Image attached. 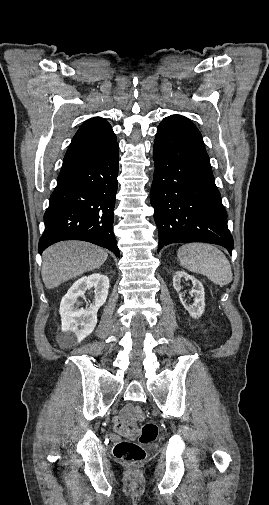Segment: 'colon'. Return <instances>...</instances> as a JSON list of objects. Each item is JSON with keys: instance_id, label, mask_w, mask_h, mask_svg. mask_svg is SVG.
<instances>
[{"instance_id": "1", "label": "colon", "mask_w": 269, "mask_h": 505, "mask_svg": "<svg viewBox=\"0 0 269 505\" xmlns=\"http://www.w3.org/2000/svg\"><path fill=\"white\" fill-rule=\"evenodd\" d=\"M134 418L142 420L143 413L139 408L134 409ZM158 428L153 422H146L141 427L138 442L122 440L114 446V456L121 462L128 464H137L141 462L146 455L144 446L153 443L157 437Z\"/></svg>"}]
</instances>
